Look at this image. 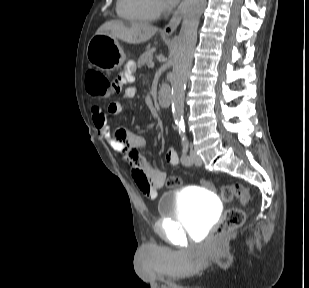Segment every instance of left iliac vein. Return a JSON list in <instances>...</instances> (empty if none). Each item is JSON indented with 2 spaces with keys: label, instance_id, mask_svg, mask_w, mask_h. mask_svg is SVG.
Returning a JSON list of instances; mask_svg holds the SVG:
<instances>
[{
  "label": "left iliac vein",
  "instance_id": "obj_1",
  "mask_svg": "<svg viewBox=\"0 0 309 288\" xmlns=\"http://www.w3.org/2000/svg\"><path fill=\"white\" fill-rule=\"evenodd\" d=\"M190 156H191V163L195 164V165H201L202 164V159L200 158V156H198V154L196 153L195 150H191L190 152Z\"/></svg>",
  "mask_w": 309,
  "mask_h": 288
}]
</instances>
